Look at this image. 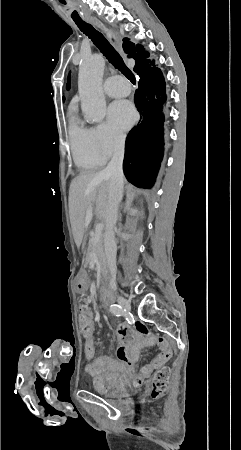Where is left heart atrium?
Wrapping results in <instances>:
<instances>
[{
	"label": "left heart atrium",
	"mask_w": 241,
	"mask_h": 450,
	"mask_svg": "<svg viewBox=\"0 0 241 450\" xmlns=\"http://www.w3.org/2000/svg\"><path fill=\"white\" fill-rule=\"evenodd\" d=\"M108 119L112 127L125 131L134 124L136 112L128 100H116L108 109Z\"/></svg>",
	"instance_id": "left-heart-atrium-1"
}]
</instances>
